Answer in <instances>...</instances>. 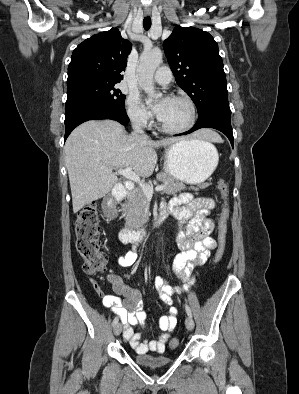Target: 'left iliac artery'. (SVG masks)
<instances>
[{"mask_svg":"<svg viewBox=\"0 0 299 394\" xmlns=\"http://www.w3.org/2000/svg\"><path fill=\"white\" fill-rule=\"evenodd\" d=\"M186 312L188 314V316L192 317V313H191V309L188 305L185 306Z\"/></svg>","mask_w":299,"mask_h":394,"instance_id":"obj_1","label":"left iliac artery"}]
</instances>
